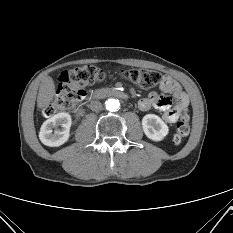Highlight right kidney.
<instances>
[{
  "label": "right kidney",
  "mask_w": 233,
  "mask_h": 233,
  "mask_svg": "<svg viewBox=\"0 0 233 233\" xmlns=\"http://www.w3.org/2000/svg\"><path fill=\"white\" fill-rule=\"evenodd\" d=\"M71 116L68 113H58L46 120L40 129L41 142L50 147H58L69 139Z\"/></svg>",
  "instance_id": "right-kidney-1"
}]
</instances>
